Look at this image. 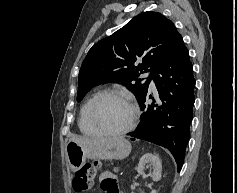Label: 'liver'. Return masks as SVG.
I'll use <instances>...</instances> for the list:
<instances>
[{
	"label": "liver",
	"mask_w": 237,
	"mask_h": 193,
	"mask_svg": "<svg viewBox=\"0 0 237 193\" xmlns=\"http://www.w3.org/2000/svg\"><path fill=\"white\" fill-rule=\"evenodd\" d=\"M105 140L106 139L95 140L92 138L82 137V136H73L72 138H70V141H73V142H76V143L82 144V145L98 144V143L104 142Z\"/></svg>",
	"instance_id": "liver-1"
}]
</instances>
